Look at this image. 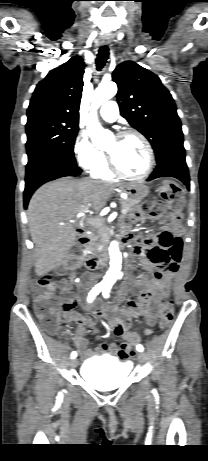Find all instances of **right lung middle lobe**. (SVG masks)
Instances as JSON below:
<instances>
[{
	"mask_svg": "<svg viewBox=\"0 0 208 461\" xmlns=\"http://www.w3.org/2000/svg\"><path fill=\"white\" fill-rule=\"evenodd\" d=\"M78 126L77 121L61 118L28 117L26 124L28 164L46 155H58L76 162L73 149Z\"/></svg>",
	"mask_w": 208,
	"mask_h": 461,
	"instance_id": "obj_1",
	"label": "right lung middle lobe"
}]
</instances>
